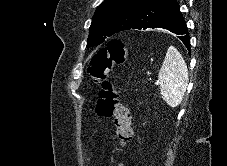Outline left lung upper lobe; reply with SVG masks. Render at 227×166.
Instances as JSON below:
<instances>
[{"label": "left lung upper lobe", "mask_w": 227, "mask_h": 166, "mask_svg": "<svg viewBox=\"0 0 227 166\" xmlns=\"http://www.w3.org/2000/svg\"><path fill=\"white\" fill-rule=\"evenodd\" d=\"M146 1L105 0L93 16L87 47L96 46L115 33L130 29Z\"/></svg>", "instance_id": "left-lung-upper-lobe-1"}]
</instances>
